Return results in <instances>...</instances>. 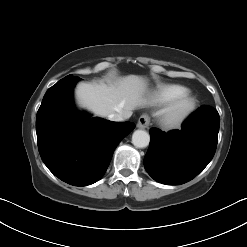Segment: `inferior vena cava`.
<instances>
[{
    "mask_svg": "<svg viewBox=\"0 0 247 247\" xmlns=\"http://www.w3.org/2000/svg\"><path fill=\"white\" fill-rule=\"evenodd\" d=\"M131 115H132L131 111H119L116 113L109 114L108 119L111 121H123L131 117Z\"/></svg>",
    "mask_w": 247,
    "mask_h": 247,
    "instance_id": "inferior-vena-cava-1",
    "label": "inferior vena cava"
}]
</instances>
